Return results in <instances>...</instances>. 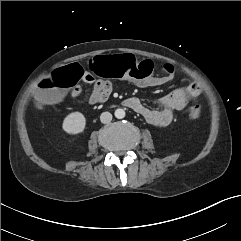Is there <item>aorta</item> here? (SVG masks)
<instances>
[{"label": "aorta", "mask_w": 241, "mask_h": 241, "mask_svg": "<svg viewBox=\"0 0 241 241\" xmlns=\"http://www.w3.org/2000/svg\"><path fill=\"white\" fill-rule=\"evenodd\" d=\"M115 117L117 118V119H122V118H124L125 117V111L123 110V109H121V108H118V109H116L115 110Z\"/></svg>", "instance_id": "762f6f07"}]
</instances>
